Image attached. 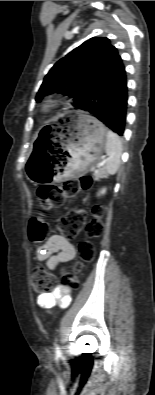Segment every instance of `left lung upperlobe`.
<instances>
[{
	"instance_id": "left-lung-upper-lobe-1",
	"label": "left lung upper lobe",
	"mask_w": 155,
	"mask_h": 395,
	"mask_svg": "<svg viewBox=\"0 0 155 395\" xmlns=\"http://www.w3.org/2000/svg\"><path fill=\"white\" fill-rule=\"evenodd\" d=\"M122 61L108 38L93 37L60 59L45 76L36 101L52 93L74 98L80 108L104 76Z\"/></svg>"
}]
</instances>
